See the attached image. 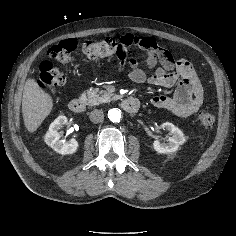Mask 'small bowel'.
I'll return each instance as SVG.
<instances>
[{"mask_svg": "<svg viewBox=\"0 0 236 236\" xmlns=\"http://www.w3.org/2000/svg\"><path fill=\"white\" fill-rule=\"evenodd\" d=\"M120 42L128 47L137 46L149 53L146 62L147 72L139 68L135 58H120L119 69L122 70L127 62L130 67L129 77L133 82L138 84L147 82L166 88L176 86L173 96H154L151 103L155 107L169 110L180 117L191 116L200 109L204 98L203 87L192 64L187 59L175 58L150 37L125 34Z\"/></svg>", "mask_w": 236, "mask_h": 236, "instance_id": "1", "label": "small bowel"}]
</instances>
